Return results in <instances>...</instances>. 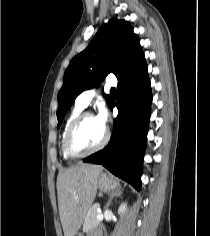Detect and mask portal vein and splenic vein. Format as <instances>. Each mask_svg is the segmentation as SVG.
<instances>
[{
	"instance_id": "portal-vein-and-splenic-vein-1",
	"label": "portal vein and splenic vein",
	"mask_w": 210,
	"mask_h": 236,
	"mask_svg": "<svg viewBox=\"0 0 210 236\" xmlns=\"http://www.w3.org/2000/svg\"><path fill=\"white\" fill-rule=\"evenodd\" d=\"M103 217H104V216H103L102 212H99L98 215L96 216V218H97L98 220H102Z\"/></svg>"
}]
</instances>
